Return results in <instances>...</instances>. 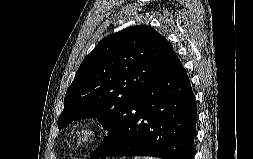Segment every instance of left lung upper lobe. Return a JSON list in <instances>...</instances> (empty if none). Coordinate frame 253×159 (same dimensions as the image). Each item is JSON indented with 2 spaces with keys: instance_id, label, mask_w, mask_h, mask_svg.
<instances>
[{
  "instance_id": "1",
  "label": "left lung upper lobe",
  "mask_w": 253,
  "mask_h": 159,
  "mask_svg": "<svg viewBox=\"0 0 253 159\" xmlns=\"http://www.w3.org/2000/svg\"><path fill=\"white\" fill-rule=\"evenodd\" d=\"M176 56L150 26H133L102 39L82 61L64 98L59 130L67 123L97 118L111 136L124 111Z\"/></svg>"
}]
</instances>
